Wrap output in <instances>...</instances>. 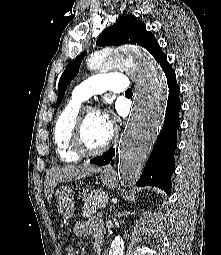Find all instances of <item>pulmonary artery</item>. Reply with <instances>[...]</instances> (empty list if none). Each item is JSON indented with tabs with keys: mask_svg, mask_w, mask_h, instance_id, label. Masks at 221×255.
<instances>
[{
	"mask_svg": "<svg viewBox=\"0 0 221 255\" xmlns=\"http://www.w3.org/2000/svg\"><path fill=\"white\" fill-rule=\"evenodd\" d=\"M128 88L127 77L122 73H107L92 76L80 83L73 91L72 100L81 103L107 90L121 93Z\"/></svg>",
	"mask_w": 221,
	"mask_h": 255,
	"instance_id": "pulmonary-artery-1",
	"label": "pulmonary artery"
}]
</instances>
